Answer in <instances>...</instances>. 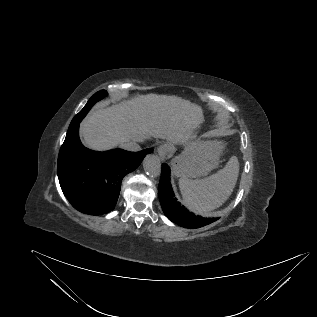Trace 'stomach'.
Segmentation results:
<instances>
[{
  "label": "stomach",
  "instance_id": "1",
  "mask_svg": "<svg viewBox=\"0 0 317 317\" xmlns=\"http://www.w3.org/2000/svg\"><path fill=\"white\" fill-rule=\"evenodd\" d=\"M223 144L219 141H194L187 143L182 153L172 160L176 176L199 178L206 176L219 164Z\"/></svg>",
  "mask_w": 317,
  "mask_h": 317
}]
</instances>
